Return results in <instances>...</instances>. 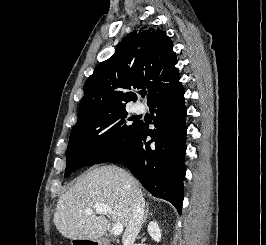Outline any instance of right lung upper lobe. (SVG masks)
<instances>
[{
    "instance_id": "cb5924a9",
    "label": "right lung upper lobe",
    "mask_w": 266,
    "mask_h": 245,
    "mask_svg": "<svg viewBox=\"0 0 266 245\" xmlns=\"http://www.w3.org/2000/svg\"><path fill=\"white\" fill-rule=\"evenodd\" d=\"M171 39L162 30L141 28L128 34L109 59L101 62L84 85L78 120L125 108L136 100L133 88L148 89L147 104L179 82Z\"/></svg>"
}]
</instances>
